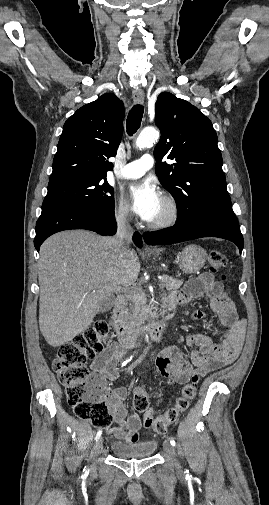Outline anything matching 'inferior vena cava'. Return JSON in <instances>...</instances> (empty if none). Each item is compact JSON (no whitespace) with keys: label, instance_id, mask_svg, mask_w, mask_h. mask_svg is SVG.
<instances>
[{"label":"inferior vena cava","instance_id":"inferior-vena-cava-1","mask_svg":"<svg viewBox=\"0 0 269 505\" xmlns=\"http://www.w3.org/2000/svg\"><path fill=\"white\" fill-rule=\"evenodd\" d=\"M133 230L129 224L127 215L120 214L117 218V234L119 247L126 249L132 242Z\"/></svg>","mask_w":269,"mask_h":505}]
</instances>
